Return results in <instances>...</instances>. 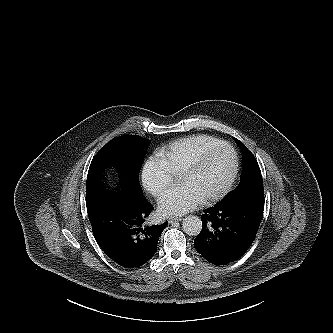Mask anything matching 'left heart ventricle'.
Returning <instances> with one entry per match:
<instances>
[{"label":"left heart ventricle","mask_w":333,"mask_h":333,"mask_svg":"<svg viewBox=\"0 0 333 333\" xmlns=\"http://www.w3.org/2000/svg\"><path fill=\"white\" fill-rule=\"evenodd\" d=\"M232 168L233 155L228 148H223L210 156L197 172L180 178V182L190 185L205 198L222 187Z\"/></svg>","instance_id":"b2bd125f"}]
</instances>
